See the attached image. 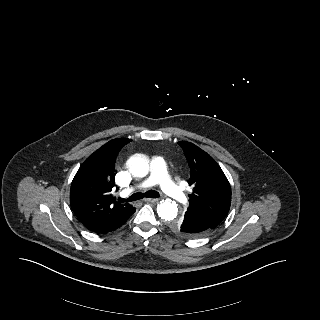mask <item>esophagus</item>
Returning <instances> with one entry per match:
<instances>
[{"label": "esophagus", "instance_id": "1", "mask_svg": "<svg viewBox=\"0 0 320 320\" xmlns=\"http://www.w3.org/2000/svg\"><path fill=\"white\" fill-rule=\"evenodd\" d=\"M159 201V199L157 198H145V202H148V203H155Z\"/></svg>", "mask_w": 320, "mask_h": 320}]
</instances>
